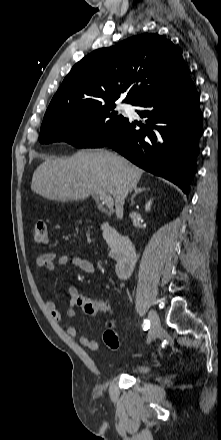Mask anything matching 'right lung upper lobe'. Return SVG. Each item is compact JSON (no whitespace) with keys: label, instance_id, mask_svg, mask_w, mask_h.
Returning <instances> with one entry per match:
<instances>
[{"label":"right lung upper lobe","instance_id":"obj_1","mask_svg":"<svg viewBox=\"0 0 221 440\" xmlns=\"http://www.w3.org/2000/svg\"><path fill=\"white\" fill-rule=\"evenodd\" d=\"M189 79L183 57L170 40L154 33L136 35L97 49L76 63L47 111L115 103L131 85L124 102L135 105Z\"/></svg>","mask_w":221,"mask_h":440}]
</instances>
